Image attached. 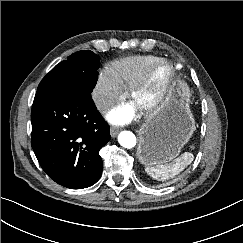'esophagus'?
I'll return each mask as SVG.
<instances>
[{"label":"esophagus","instance_id":"1","mask_svg":"<svg viewBox=\"0 0 243 243\" xmlns=\"http://www.w3.org/2000/svg\"><path fill=\"white\" fill-rule=\"evenodd\" d=\"M118 132H119V128H111V130H110V135L112 136V137H116L117 136V134H118Z\"/></svg>","mask_w":243,"mask_h":243}]
</instances>
